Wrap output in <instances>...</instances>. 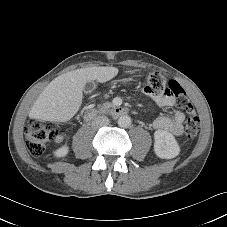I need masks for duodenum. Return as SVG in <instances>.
<instances>
[{"instance_id": "1", "label": "duodenum", "mask_w": 227, "mask_h": 227, "mask_svg": "<svg viewBox=\"0 0 227 227\" xmlns=\"http://www.w3.org/2000/svg\"><path fill=\"white\" fill-rule=\"evenodd\" d=\"M128 113H129L128 109L121 106L112 107L108 110V114H110L113 117L125 116ZM96 116H97V111L95 109L88 108L85 110V118L87 120H93Z\"/></svg>"}]
</instances>
